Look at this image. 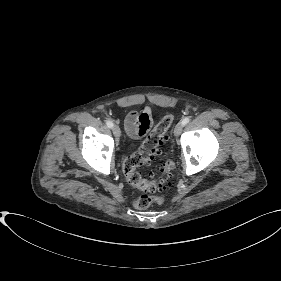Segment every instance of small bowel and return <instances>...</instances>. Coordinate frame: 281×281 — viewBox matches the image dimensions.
Segmentation results:
<instances>
[{
  "instance_id": "1",
  "label": "small bowel",
  "mask_w": 281,
  "mask_h": 281,
  "mask_svg": "<svg viewBox=\"0 0 281 281\" xmlns=\"http://www.w3.org/2000/svg\"><path fill=\"white\" fill-rule=\"evenodd\" d=\"M152 113L150 108L141 112L131 111L124 118V126L131 138L144 137L152 125Z\"/></svg>"
}]
</instances>
